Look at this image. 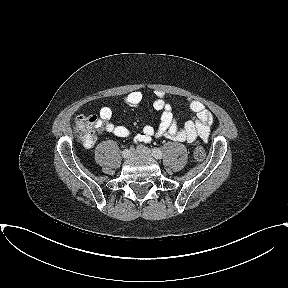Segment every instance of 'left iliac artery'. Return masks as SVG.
Listing matches in <instances>:
<instances>
[{"label":"left iliac artery","instance_id":"1","mask_svg":"<svg viewBox=\"0 0 288 288\" xmlns=\"http://www.w3.org/2000/svg\"><path fill=\"white\" fill-rule=\"evenodd\" d=\"M152 155H153L156 159H161V158H162V152H161V150L158 149V148L152 149Z\"/></svg>","mask_w":288,"mask_h":288}]
</instances>
